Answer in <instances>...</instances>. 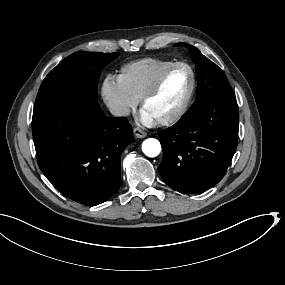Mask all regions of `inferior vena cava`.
<instances>
[{
	"label": "inferior vena cava",
	"mask_w": 285,
	"mask_h": 285,
	"mask_svg": "<svg viewBox=\"0 0 285 285\" xmlns=\"http://www.w3.org/2000/svg\"><path fill=\"white\" fill-rule=\"evenodd\" d=\"M109 111L113 116H128L130 114V108L125 105L113 104L109 107Z\"/></svg>",
	"instance_id": "obj_1"
}]
</instances>
